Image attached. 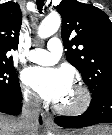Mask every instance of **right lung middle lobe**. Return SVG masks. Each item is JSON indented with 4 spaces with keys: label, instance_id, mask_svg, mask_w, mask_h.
I'll use <instances>...</instances> for the list:
<instances>
[{
    "label": "right lung middle lobe",
    "instance_id": "dd1d6c3e",
    "mask_svg": "<svg viewBox=\"0 0 112 135\" xmlns=\"http://www.w3.org/2000/svg\"><path fill=\"white\" fill-rule=\"evenodd\" d=\"M21 93L13 61L0 62V97L17 96Z\"/></svg>",
    "mask_w": 112,
    "mask_h": 135
}]
</instances>
